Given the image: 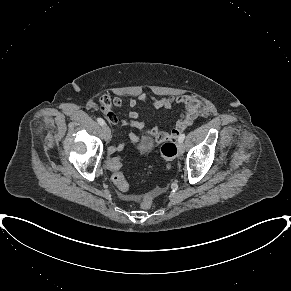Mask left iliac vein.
<instances>
[{"mask_svg": "<svg viewBox=\"0 0 291 291\" xmlns=\"http://www.w3.org/2000/svg\"><path fill=\"white\" fill-rule=\"evenodd\" d=\"M177 148H178V152L180 154L184 153L185 147H184V144L182 142H178Z\"/></svg>", "mask_w": 291, "mask_h": 291, "instance_id": "4c4485c4", "label": "left iliac vein"}]
</instances>
